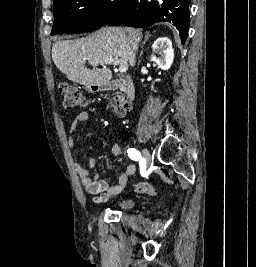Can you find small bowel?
Segmentation results:
<instances>
[{"label": "small bowel", "mask_w": 256, "mask_h": 267, "mask_svg": "<svg viewBox=\"0 0 256 267\" xmlns=\"http://www.w3.org/2000/svg\"><path fill=\"white\" fill-rule=\"evenodd\" d=\"M88 114L86 112H80L70 123L69 130L71 133H75L80 123L87 121ZM68 146L71 149L76 147V142L73 137L68 139ZM122 147L120 145H114L111 149L113 157L120 156L122 154ZM85 163L89 168H85L79 162L74 163L75 171L78 174L81 183L89 194L93 195V201L101 203L107 201L110 197L118 194L125 187L128 178L136 172L137 166L135 162L129 164L124 170H122L118 176V184L112 185L107 180L96 178V169L98 167V161L93 158H85Z\"/></svg>", "instance_id": "obj_1"}]
</instances>
